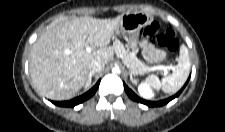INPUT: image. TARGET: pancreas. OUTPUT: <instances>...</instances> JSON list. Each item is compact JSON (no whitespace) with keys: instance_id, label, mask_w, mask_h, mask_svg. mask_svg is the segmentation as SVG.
I'll list each match as a JSON object with an SVG mask.
<instances>
[{"instance_id":"pancreas-1","label":"pancreas","mask_w":225,"mask_h":132,"mask_svg":"<svg viewBox=\"0 0 225 132\" xmlns=\"http://www.w3.org/2000/svg\"><path fill=\"white\" fill-rule=\"evenodd\" d=\"M112 49L134 75H143L148 72L149 68H151L139 60L135 53L126 49L119 40L114 41Z\"/></svg>"}]
</instances>
